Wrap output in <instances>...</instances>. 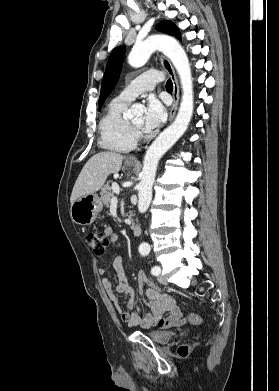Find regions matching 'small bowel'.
<instances>
[{
  "instance_id": "1",
  "label": "small bowel",
  "mask_w": 279,
  "mask_h": 391,
  "mask_svg": "<svg viewBox=\"0 0 279 391\" xmlns=\"http://www.w3.org/2000/svg\"><path fill=\"white\" fill-rule=\"evenodd\" d=\"M104 233L110 237L111 242H117V236L112 227H107ZM112 266L117 275V284L113 286L107 277L102 279V284L124 323L130 327L140 326L143 328H169L184 324L183 313L176 301L172 297L162 294L142 272L138 274V281L141 285H147L145 290L146 307L136 306L135 312L123 311L118 294L124 295L129 309L135 307V294L129 286L122 258L116 257ZM106 272L107 268L99 269L101 275Z\"/></svg>"
}]
</instances>
